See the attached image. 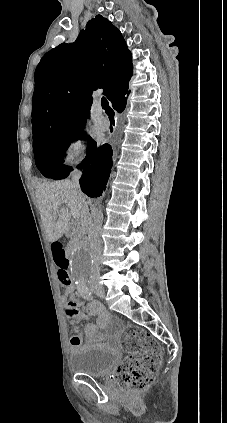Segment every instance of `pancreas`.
Instances as JSON below:
<instances>
[{"instance_id":"pancreas-1","label":"pancreas","mask_w":227,"mask_h":423,"mask_svg":"<svg viewBox=\"0 0 227 423\" xmlns=\"http://www.w3.org/2000/svg\"><path fill=\"white\" fill-rule=\"evenodd\" d=\"M77 231H79V233H83V231H84L83 225H80V223H78V225H77Z\"/></svg>"}]
</instances>
